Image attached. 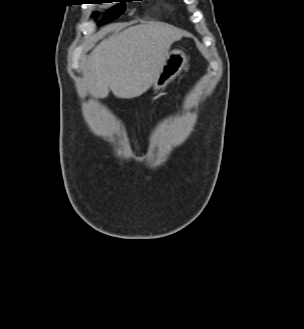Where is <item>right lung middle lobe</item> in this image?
Returning a JSON list of instances; mask_svg holds the SVG:
<instances>
[{
    "label": "right lung middle lobe",
    "instance_id": "obj_1",
    "mask_svg": "<svg viewBox=\"0 0 304 329\" xmlns=\"http://www.w3.org/2000/svg\"><path fill=\"white\" fill-rule=\"evenodd\" d=\"M105 0H97L96 3H102ZM120 2H126L129 0H119ZM111 2V1H110ZM124 4H119L115 7H113L104 17V19L99 23V25L108 23L110 21H113L114 19H116L119 15H121L124 12Z\"/></svg>",
    "mask_w": 304,
    "mask_h": 329
}]
</instances>
